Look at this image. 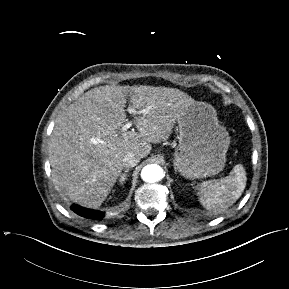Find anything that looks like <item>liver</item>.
I'll return each instance as SVG.
<instances>
[{
  "mask_svg": "<svg viewBox=\"0 0 289 289\" xmlns=\"http://www.w3.org/2000/svg\"><path fill=\"white\" fill-rule=\"evenodd\" d=\"M147 113L135 117V131H122L125 106ZM195 100L176 88L106 85L93 88L56 118L49 142L52 180L69 200L99 207L123 169V158L133 152L149 155L151 143L169 138L182 112Z\"/></svg>",
  "mask_w": 289,
  "mask_h": 289,
  "instance_id": "obj_1",
  "label": "liver"
}]
</instances>
